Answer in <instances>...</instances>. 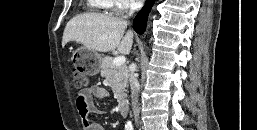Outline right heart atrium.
Returning <instances> with one entry per match:
<instances>
[{"mask_svg": "<svg viewBox=\"0 0 257 130\" xmlns=\"http://www.w3.org/2000/svg\"><path fill=\"white\" fill-rule=\"evenodd\" d=\"M113 8L117 10L128 9L138 3V0H112Z\"/></svg>", "mask_w": 257, "mask_h": 130, "instance_id": "d8ad5b80", "label": "right heart atrium"}]
</instances>
